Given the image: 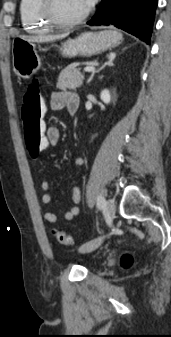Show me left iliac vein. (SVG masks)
I'll return each instance as SVG.
<instances>
[{
	"instance_id": "4c4485c4",
	"label": "left iliac vein",
	"mask_w": 171,
	"mask_h": 337,
	"mask_svg": "<svg viewBox=\"0 0 171 337\" xmlns=\"http://www.w3.org/2000/svg\"><path fill=\"white\" fill-rule=\"evenodd\" d=\"M115 210L116 208L114 201L112 199L107 200L106 212L111 221L114 219ZM102 240L103 238L100 237L85 243L81 246L80 252L86 253L95 250L101 244Z\"/></svg>"
}]
</instances>
